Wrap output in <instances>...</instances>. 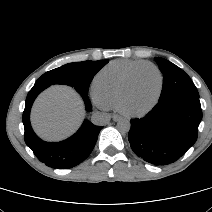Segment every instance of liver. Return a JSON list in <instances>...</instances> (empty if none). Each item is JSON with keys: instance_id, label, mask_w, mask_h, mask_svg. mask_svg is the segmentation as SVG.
Masks as SVG:
<instances>
[{"instance_id": "6515ba94", "label": "liver", "mask_w": 212, "mask_h": 212, "mask_svg": "<svg viewBox=\"0 0 212 212\" xmlns=\"http://www.w3.org/2000/svg\"><path fill=\"white\" fill-rule=\"evenodd\" d=\"M84 108L80 96L67 86H52L35 101L31 120L36 133L56 141L70 136L81 124Z\"/></svg>"}]
</instances>
